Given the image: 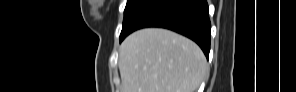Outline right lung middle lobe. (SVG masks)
I'll use <instances>...</instances> for the list:
<instances>
[{"instance_id": "right-lung-middle-lobe-1", "label": "right lung middle lobe", "mask_w": 296, "mask_h": 92, "mask_svg": "<svg viewBox=\"0 0 296 92\" xmlns=\"http://www.w3.org/2000/svg\"><path fill=\"white\" fill-rule=\"evenodd\" d=\"M154 0H128L124 10L123 27L120 34L122 41L130 32L133 23Z\"/></svg>"}]
</instances>
